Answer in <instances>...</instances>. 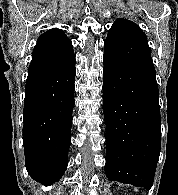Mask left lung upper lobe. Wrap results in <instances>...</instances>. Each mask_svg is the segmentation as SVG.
Masks as SVG:
<instances>
[{
    "label": "left lung upper lobe",
    "instance_id": "1",
    "mask_svg": "<svg viewBox=\"0 0 178 195\" xmlns=\"http://www.w3.org/2000/svg\"><path fill=\"white\" fill-rule=\"evenodd\" d=\"M104 54L155 73L147 36L135 23L118 19L108 32Z\"/></svg>",
    "mask_w": 178,
    "mask_h": 195
}]
</instances>
